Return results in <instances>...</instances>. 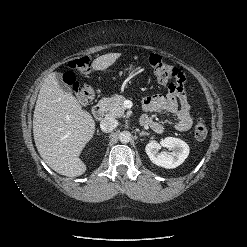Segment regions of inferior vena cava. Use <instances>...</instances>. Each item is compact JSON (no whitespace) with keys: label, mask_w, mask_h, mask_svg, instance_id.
<instances>
[{"label":"inferior vena cava","mask_w":247,"mask_h":247,"mask_svg":"<svg viewBox=\"0 0 247 247\" xmlns=\"http://www.w3.org/2000/svg\"><path fill=\"white\" fill-rule=\"evenodd\" d=\"M116 126L117 121L113 117H105L100 123V128L104 132H112Z\"/></svg>","instance_id":"602c4592"}]
</instances>
